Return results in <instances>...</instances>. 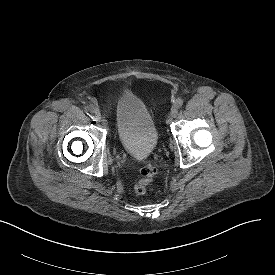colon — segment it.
Instances as JSON below:
<instances>
[{"instance_id": "1", "label": "colon", "mask_w": 275, "mask_h": 275, "mask_svg": "<svg viewBox=\"0 0 275 275\" xmlns=\"http://www.w3.org/2000/svg\"><path fill=\"white\" fill-rule=\"evenodd\" d=\"M139 173L140 177L135 183L133 190L137 195H144L156 174V169L151 162H147L141 167Z\"/></svg>"}]
</instances>
